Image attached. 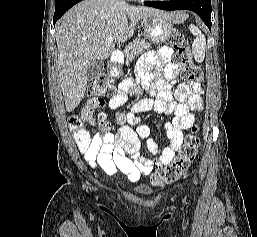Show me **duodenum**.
Segmentation results:
<instances>
[{
	"instance_id": "obj_1",
	"label": "duodenum",
	"mask_w": 257,
	"mask_h": 237,
	"mask_svg": "<svg viewBox=\"0 0 257 237\" xmlns=\"http://www.w3.org/2000/svg\"><path fill=\"white\" fill-rule=\"evenodd\" d=\"M117 60H118V57H115V62H116V63L118 62Z\"/></svg>"
}]
</instances>
